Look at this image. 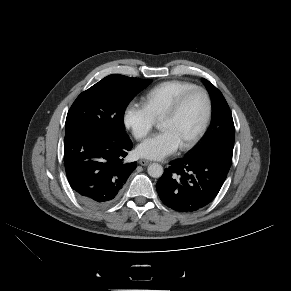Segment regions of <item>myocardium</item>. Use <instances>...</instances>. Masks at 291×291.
I'll list each match as a JSON object with an SVG mask.
<instances>
[{
	"mask_svg": "<svg viewBox=\"0 0 291 291\" xmlns=\"http://www.w3.org/2000/svg\"><path fill=\"white\" fill-rule=\"evenodd\" d=\"M201 93L205 99V103H206V109H205V115L203 118V121L200 125V127L198 128V130L196 131V133L190 138V140L182 145H180V149L183 151L189 150L192 147H194L197 142L201 139V137L204 135L210 120H211V116H212V110H213V105H212V99L210 97L209 92L200 86H195L185 92H183L181 95H179L175 101L171 104V106L164 112V114L162 115L161 119H166V118H172L175 115H177V113L180 111V109L182 108V106L184 105V103L187 101V99L194 93Z\"/></svg>",
	"mask_w": 291,
	"mask_h": 291,
	"instance_id": "obj_1",
	"label": "myocardium"
}]
</instances>
